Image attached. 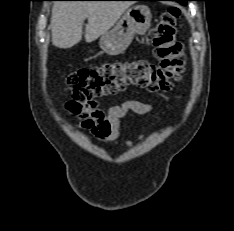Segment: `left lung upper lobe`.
Segmentation results:
<instances>
[{
	"label": "left lung upper lobe",
	"mask_w": 234,
	"mask_h": 231,
	"mask_svg": "<svg viewBox=\"0 0 234 231\" xmlns=\"http://www.w3.org/2000/svg\"><path fill=\"white\" fill-rule=\"evenodd\" d=\"M187 1H190V0H177V2L184 4V5H186Z\"/></svg>",
	"instance_id": "obj_1"
}]
</instances>
